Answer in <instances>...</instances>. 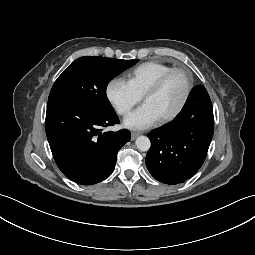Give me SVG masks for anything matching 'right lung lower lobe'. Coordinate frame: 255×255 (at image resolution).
<instances>
[{"mask_svg": "<svg viewBox=\"0 0 255 255\" xmlns=\"http://www.w3.org/2000/svg\"><path fill=\"white\" fill-rule=\"evenodd\" d=\"M119 123L112 113H100L71 101L47 104L46 135L54 160L70 180L91 185L111 175L119 149L130 140V132H104Z\"/></svg>", "mask_w": 255, "mask_h": 255, "instance_id": "98d812e1", "label": "right lung lower lobe"}]
</instances>
